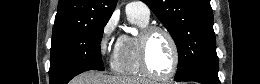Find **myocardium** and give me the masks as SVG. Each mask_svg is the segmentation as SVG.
I'll list each match as a JSON object with an SVG mask.
<instances>
[{
  "mask_svg": "<svg viewBox=\"0 0 260 84\" xmlns=\"http://www.w3.org/2000/svg\"><path fill=\"white\" fill-rule=\"evenodd\" d=\"M156 32L163 33L169 40L172 52H173V64L172 69L167 75H159L154 73L148 63V44L152 35ZM138 55L139 63L143 73L149 78L157 81H168L172 79L178 72L180 65L179 47L174 35L165 27L160 25H147L142 29L141 34L138 37Z\"/></svg>",
  "mask_w": 260,
  "mask_h": 84,
  "instance_id": "obj_1",
  "label": "myocardium"
}]
</instances>
